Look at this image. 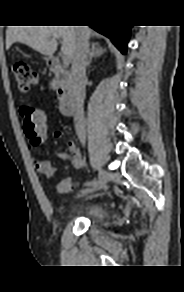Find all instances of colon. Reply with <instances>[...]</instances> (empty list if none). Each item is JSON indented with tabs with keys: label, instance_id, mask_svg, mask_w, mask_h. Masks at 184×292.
Instances as JSON below:
<instances>
[{
	"label": "colon",
	"instance_id": "1",
	"mask_svg": "<svg viewBox=\"0 0 184 292\" xmlns=\"http://www.w3.org/2000/svg\"><path fill=\"white\" fill-rule=\"evenodd\" d=\"M12 72L17 82L18 89L26 92L37 83L38 74L26 61H15ZM24 132L33 147L38 148L45 140L47 134L46 118L44 113L33 107L24 106L20 110Z\"/></svg>",
	"mask_w": 184,
	"mask_h": 292
}]
</instances>
